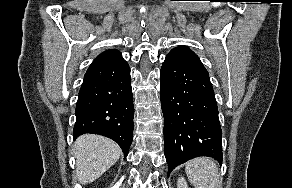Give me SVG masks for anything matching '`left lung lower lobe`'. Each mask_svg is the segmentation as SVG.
<instances>
[{
	"mask_svg": "<svg viewBox=\"0 0 292 188\" xmlns=\"http://www.w3.org/2000/svg\"><path fill=\"white\" fill-rule=\"evenodd\" d=\"M164 147L171 172L198 156L222 162V130L208 72L167 55L160 71Z\"/></svg>",
	"mask_w": 292,
	"mask_h": 188,
	"instance_id": "obj_1",
	"label": "left lung lower lobe"
}]
</instances>
